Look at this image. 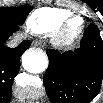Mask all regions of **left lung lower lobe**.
<instances>
[{
    "instance_id": "left-lung-lower-lobe-1",
    "label": "left lung lower lobe",
    "mask_w": 103,
    "mask_h": 103,
    "mask_svg": "<svg viewBox=\"0 0 103 103\" xmlns=\"http://www.w3.org/2000/svg\"><path fill=\"white\" fill-rule=\"evenodd\" d=\"M49 67L44 76L52 103H89L103 82V41L99 29H86L80 48L61 54L48 49Z\"/></svg>"
}]
</instances>
